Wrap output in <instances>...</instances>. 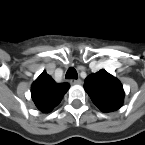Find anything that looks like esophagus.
I'll list each match as a JSON object with an SVG mask.
<instances>
[{
    "label": "esophagus",
    "mask_w": 145,
    "mask_h": 145,
    "mask_svg": "<svg viewBox=\"0 0 145 145\" xmlns=\"http://www.w3.org/2000/svg\"><path fill=\"white\" fill-rule=\"evenodd\" d=\"M71 84L77 85V84H82V80L81 79H72L70 80Z\"/></svg>",
    "instance_id": "obj_1"
}]
</instances>
